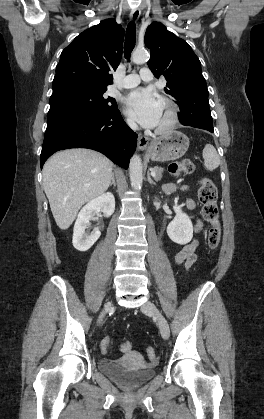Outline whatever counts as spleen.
<instances>
[{
    "label": "spleen",
    "instance_id": "spleen-1",
    "mask_svg": "<svg viewBox=\"0 0 264 419\" xmlns=\"http://www.w3.org/2000/svg\"><path fill=\"white\" fill-rule=\"evenodd\" d=\"M202 155L204 159V166L207 170L212 171L219 166L220 159L213 145L206 144Z\"/></svg>",
    "mask_w": 264,
    "mask_h": 419
}]
</instances>
